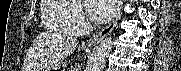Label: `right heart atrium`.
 <instances>
[{"label": "right heart atrium", "mask_w": 181, "mask_h": 71, "mask_svg": "<svg viewBox=\"0 0 181 71\" xmlns=\"http://www.w3.org/2000/svg\"><path fill=\"white\" fill-rule=\"evenodd\" d=\"M74 5V8L70 14L69 22L76 33H81L89 26V21L84 13V10L77 4L76 0H69Z\"/></svg>", "instance_id": "obj_1"}]
</instances>
